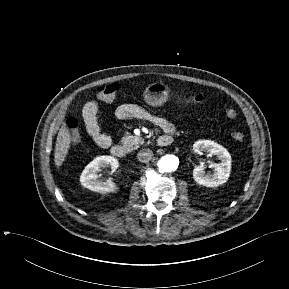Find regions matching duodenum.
Wrapping results in <instances>:
<instances>
[{"label":"duodenum","mask_w":289,"mask_h":289,"mask_svg":"<svg viewBox=\"0 0 289 289\" xmlns=\"http://www.w3.org/2000/svg\"><path fill=\"white\" fill-rule=\"evenodd\" d=\"M172 139L168 136H161L158 139V145L159 146H168L169 144H171ZM110 152L113 156L117 157V158H122L126 155V150L123 146L121 145H113L110 149Z\"/></svg>","instance_id":"410a0bca"}]
</instances>
